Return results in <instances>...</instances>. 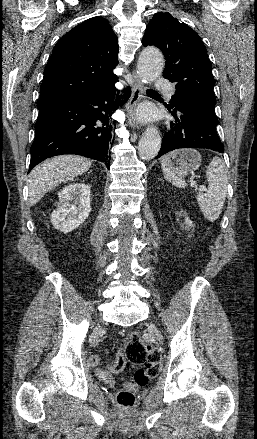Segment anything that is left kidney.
<instances>
[{
  "instance_id": "5707ae66",
  "label": "left kidney",
  "mask_w": 257,
  "mask_h": 439,
  "mask_svg": "<svg viewBox=\"0 0 257 439\" xmlns=\"http://www.w3.org/2000/svg\"><path fill=\"white\" fill-rule=\"evenodd\" d=\"M185 224L187 225V226H192L193 224H192V221L189 219V218H185Z\"/></svg>"
}]
</instances>
